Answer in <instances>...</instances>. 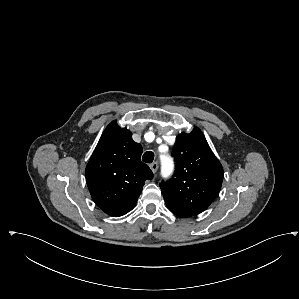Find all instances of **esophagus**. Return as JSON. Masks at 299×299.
Wrapping results in <instances>:
<instances>
[{
    "label": "esophagus",
    "mask_w": 299,
    "mask_h": 299,
    "mask_svg": "<svg viewBox=\"0 0 299 299\" xmlns=\"http://www.w3.org/2000/svg\"><path fill=\"white\" fill-rule=\"evenodd\" d=\"M159 168V164L157 162H154L150 165V169L152 170L153 173H156Z\"/></svg>",
    "instance_id": "1"
}]
</instances>
